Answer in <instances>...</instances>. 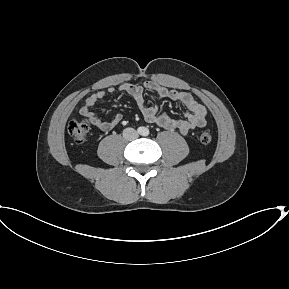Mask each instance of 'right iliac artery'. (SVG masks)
Instances as JSON below:
<instances>
[{
  "label": "right iliac artery",
  "mask_w": 289,
  "mask_h": 289,
  "mask_svg": "<svg viewBox=\"0 0 289 289\" xmlns=\"http://www.w3.org/2000/svg\"><path fill=\"white\" fill-rule=\"evenodd\" d=\"M143 132V129L142 128H139L138 129V133H142Z\"/></svg>",
  "instance_id": "82829eb1"
}]
</instances>
